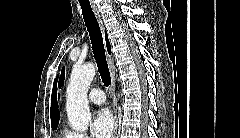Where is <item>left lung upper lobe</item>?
I'll list each match as a JSON object with an SVG mask.
<instances>
[{
	"instance_id": "left-lung-upper-lobe-1",
	"label": "left lung upper lobe",
	"mask_w": 240,
	"mask_h": 138,
	"mask_svg": "<svg viewBox=\"0 0 240 138\" xmlns=\"http://www.w3.org/2000/svg\"><path fill=\"white\" fill-rule=\"evenodd\" d=\"M63 79H64V68L62 69V75H61V78H60L59 87H61Z\"/></svg>"
}]
</instances>
